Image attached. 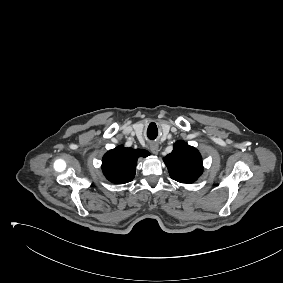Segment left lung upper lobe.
Returning <instances> with one entry per match:
<instances>
[{"mask_svg":"<svg viewBox=\"0 0 283 283\" xmlns=\"http://www.w3.org/2000/svg\"><path fill=\"white\" fill-rule=\"evenodd\" d=\"M163 160L170 177L180 183H193L203 172L202 157L199 151L184 141H177L173 151Z\"/></svg>","mask_w":283,"mask_h":283,"instance_id":"5c2ea615","label":"left lung upper lobe"}]
</instances>
